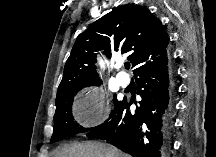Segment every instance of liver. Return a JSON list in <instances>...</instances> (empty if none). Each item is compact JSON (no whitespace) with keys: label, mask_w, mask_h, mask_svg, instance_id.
<instances>
[{"label":"liver","mask_w":216,"mask_h":157,"mask_svg":"<svg viewBox=\"0 0 216 157\" xmlns=\"http://www.w3.org/2000/svg\"><path fill=\"white\" fill-rule=\"evenodd\" d=\"M55 157H127L117 148L96 141L67 145Z\"/></svg>","instance_id":"liver-1"}]
</instances>
